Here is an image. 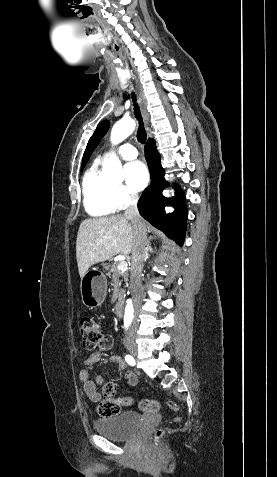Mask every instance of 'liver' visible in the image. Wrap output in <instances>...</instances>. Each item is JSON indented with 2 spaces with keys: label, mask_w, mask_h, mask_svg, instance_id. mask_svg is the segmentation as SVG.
<instances>
[{
  "label": "liver",
  "mask_w": 277,
  "mask_h": 477,
  "mask_svg": "<svg viewBox=\"0 0 277 477\" xmlns=\"http://www.w3.org/2000/svg\"><path fill=\"white\" fill-rule=\"evenodd\" d=\"M146 231L147 224L143 222ZM135 244V234L130 218L113 215L88 218L81 222L76 240V257L79 275L82 278L88 269L97 263L111 259L117 254L129 255Z\"/></svg>",
  "instance_id": "6515ba94"
}]
</instances>
